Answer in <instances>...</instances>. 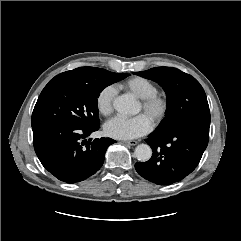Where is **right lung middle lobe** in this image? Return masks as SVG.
Wrapping results in <instances>:
<instances>
[{"label": "right lung middle lobe", "mask_w": 241, "mask_h": 241, "mask_svg": "<svg viewBox=\"0 0 241 241\" xmlns=\"http://www.w3.org/2000/svg\"><path fill=\"white\" fill-rule=\"evenodd\" d=\"M128 75L99 68L96 76L89 79L63 74L55 76L37 100L31 125L61 122L83 128L98 126L97 98L101 91Z\"/></svg>", "instance_id": "right-lung-middle-lobe-1"}]
</instances>
